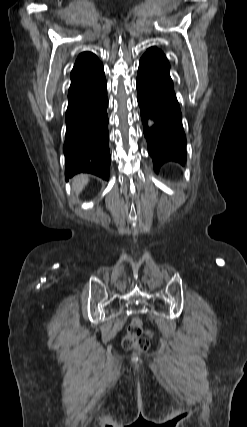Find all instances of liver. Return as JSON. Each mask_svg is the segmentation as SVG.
I'll list each match as a JSON object with an SVG mask.
<instances>
[{
  "label": "liver",
  "instance_id": "1",
  "mask_svg": "<svg viewBox=\"0 0 247 427\" xmlns=\"http://www.w3.org/2000/svg\"><path fill=\"white\" fill-rule=\"evenodd\" d=\"M89 181L88 175L86 174H80L74 177L72 181L73 190L79 194L87 185Z\"/></svg>",
  "mask_w": 247,
  "mask_h": 427
}]
</instances>
